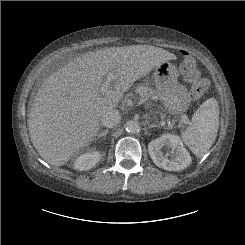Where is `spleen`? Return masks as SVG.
Instances as JSON below:
<instances>
[{
	"label": "spleen",
	"mask_w": 245,
	"mask_h": 245,
	"mask_svg": "<svg viewBox=\"0 0 245 245\" xmlns=\"http://www.w3.org/2000/svg\"><path fill=\"white\" fill-rule=\"evenodd\" d=\"M219 128V105L209 98L192 116L191 125L182 132V141L197 156L202 157L214 143Z\"/></svg>",
	"instance_id": "1"
}]
</instances>
